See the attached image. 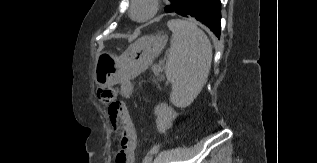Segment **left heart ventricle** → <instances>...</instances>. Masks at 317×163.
Masks as SVG:
<instances>
[{
	"mask_svg": "<svg viewBox=\"0 0 317 163\" xmlns=\"http://www.w3.org/2000/svg\"><path fill=\"white\" fill-rule=\"evenodd\" d=\"M148 12V5L145 2H140L135 8V16L142 17Z\"/></svg>",
	"mask_w": 317,
	"mask_h": 163,
	"instance_id": "obj_1",
	"label": "left heart ventricle"
}]
</instances>
